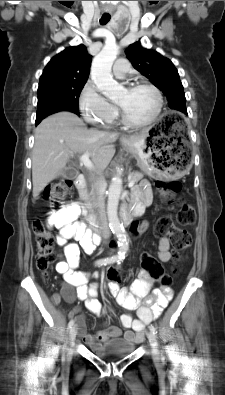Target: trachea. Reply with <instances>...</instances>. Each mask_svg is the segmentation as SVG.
Listing matches in <instances>:
<instances>
[{"label": "trachea", "instance_id": "3493384b", "mask_svg": "<svg viewBox=\"0 0 225 395\" xmlns=\"http://www.w3.org/2000/svg\"><path fill=\"white\" fill-rule=\"evenodd\" d=\"M109 20H110V15L103 14L101 19H100V23L102 25H105V24H107L109 22Z\"/></svg>", "mask_w": 225, "mask_h": 395}]
</instances>
